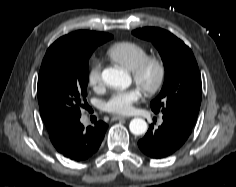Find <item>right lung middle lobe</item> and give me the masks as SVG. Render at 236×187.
Instances as JSON below:
<instances>
[{"mask_svg":"<svg viewBox=\"0 0 236 187\" xmlns=\"http://www.w3.org/2000/svg\"><path fill=\"white\" fill-rule=\"evenodd\" d=\"M113 37L75 45L55 41L47 50L38 76V102L43 120L72 125L80 120L87 95L88 59L100 44Z\"/></svg>","mask_w":236,"mask_h":187,"instance_id":"right-lung-middle-lobe-1","label":"right lung middle lobe"}]
</instances>
